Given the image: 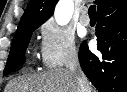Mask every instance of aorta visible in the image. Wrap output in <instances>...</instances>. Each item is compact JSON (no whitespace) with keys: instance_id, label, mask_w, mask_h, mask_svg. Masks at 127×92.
<instances>
[{"instance_id":"aorta-1","label":"aorta","mask_w":127,"mask_h":92,"mask_svg":"<svg viewBox=\"0 0 127 92\" xmlns=\"http://www.w3.org/2000/svg\"><path fill=\"white\" fill-rule=\"evenodd\" d=\"M74 4L72 0H60L55 8L54 18L58 25L69 23L73 14Z\"/></svg>"}]
</instances>
